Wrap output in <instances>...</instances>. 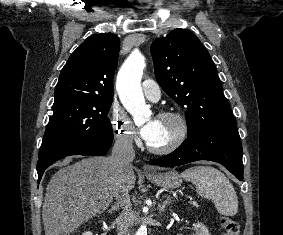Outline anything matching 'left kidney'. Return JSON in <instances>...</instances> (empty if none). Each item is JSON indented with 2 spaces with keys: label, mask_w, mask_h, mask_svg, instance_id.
<instances>
[{
  "label": "left kidney",
  "mask_w": 283,
  "mask_h": 235,
  "mask_svg": "<svg viewBox=\"0 0 283 235\" xmlns=\"http://www.w3.org/2000/svg\"><path fill=\"white\" fill-rule=\"evenodd\" d=\"M194 230H195V234H193V235H211L209 233L208 228L200 222L195 224Z\"/></svg>",
  "instance_id": "obj_1"
}]
</instances>
